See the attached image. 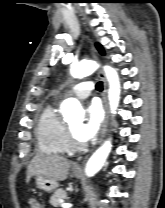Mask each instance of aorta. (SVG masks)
<instances>
[{
  "label": "aorta",
  "mask_w": 165,
  "mask_h": 208,
  "mask_svg": "<svg viewBox=\"0 0 165 208\" xmlns=\"http://www.w3.org/2000/svg\"><path fill=\"white\" fill-rule=\"evenodd\" d=\"M95 61L86 60L71 66V75L75 78H83L91 75L97 68ZM105 75L109 83L108 99L112 114L116 113L120 100V81L116 70L110 66H104ZM61 111L65 118H83L84 111L80 102L75 98H69L62 102ZM112 148L111 140H106L101 147L88 160L85 167V174L88 177L94 176L104 165Z\"/></svg>",
  "instance_id": "aorta-1"
}]
</instances>
